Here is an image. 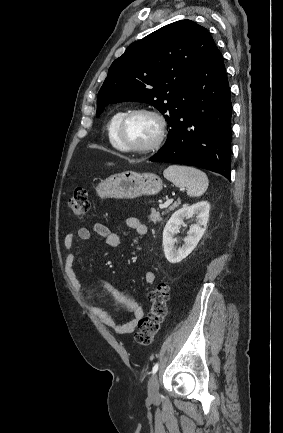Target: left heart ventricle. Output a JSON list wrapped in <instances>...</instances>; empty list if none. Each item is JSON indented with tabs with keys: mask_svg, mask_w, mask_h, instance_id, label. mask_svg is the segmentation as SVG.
Returning <instances> with one entry per match:
<instances>
[{
	"mask_svg": "<svg viewBox=\"0 0 283 433\" xmlns=\"http://www.w3.org/2000/svg\"><path fill=\"white\" fill-rule=\"evenodd\" d=\"M159 122L149 114L133 116L124 128L123 138L133 147H147L158 137Z\"/></svg>",
	"mask_w": 283,
	"mask_h": 433,
	"instance_id": "obj_1",
	"label": "left heart ventricle"
}]
</instances>
